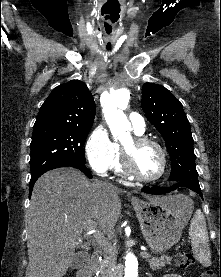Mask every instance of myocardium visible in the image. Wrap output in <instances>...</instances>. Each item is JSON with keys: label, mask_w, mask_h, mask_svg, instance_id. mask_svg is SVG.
Segmentation results:
<instances>
[{"label": "myocardium", "mask_w": 221, "mask_h": 277, "mask_svg": "<svg viewBox=\"0 0 221 277\" xmlns=\"http://www.w3.org/2000/svg\"><path fill=\"white\" fill-rule=\"evenodd\" d=\"M148 145L154 146L159 151L162 161L160 172L158 173V175L151 178L142 176L136 170L134 165V156L136 151ZM121 163L124 172L128 176L141 182L152 183L160 180L164 176L167 169L168 161L166 151L159 142L146 136H135L132 138L130 145L121 146Z\"/></svg>", "instance_id": "1"}]
</instances>
